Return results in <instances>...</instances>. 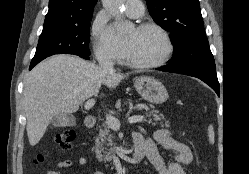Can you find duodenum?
Masks as SVG:
<instances>
[{
	"mask_svg": "<svg viewBox=\"0 0 249 174\" xmlns=\"http://www.w3.org/2000/svg\"><path fill=\"white\" fill-rule=\"evenodd\" d=\"M84 123L87 128H93L96 125V119L93 116H87L85 118ZM145 154H146L145 145L140 143H135V150L133 153V163L134 164L140 163L145 157Z\"/></svg>",
	"mask_w": 249,
	"mask_h": 174,
	"instance_id": "duodenum-1",
	"label": "duodenum"
}]
</instances>
